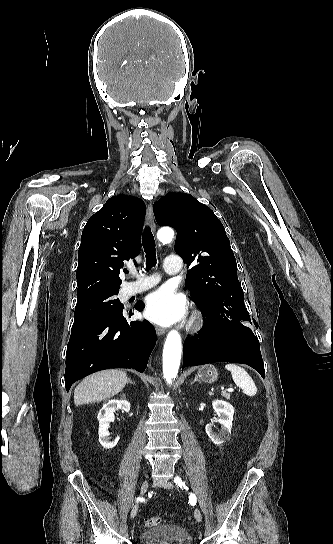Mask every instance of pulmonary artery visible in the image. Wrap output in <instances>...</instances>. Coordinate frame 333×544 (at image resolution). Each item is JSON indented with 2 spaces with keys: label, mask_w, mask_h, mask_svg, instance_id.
<instances>
[{
  "label": "pulmonary artery",
  "mask_w": 333,
  "mask_h": 544,
  "mask_svg": "<svg viewBox=\"0 0 333 544\" xmlns=\"http://www.w3.org/2000/svg\"><path fill=\"white\" fill-rule=\"evenodd\" d=\"M182 267V261L179 256L176 255H170L165 258L164 261V270L166 273L172 275L176 274L181 270ZM159 281L158 276H151V277H140L138 281L129 283L126 288V293L129 296L141 293L155 284H157Z\"/></svg>",
  "instance_id": "e3ab8cb5"
}]
</instances>
